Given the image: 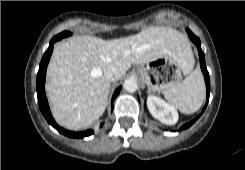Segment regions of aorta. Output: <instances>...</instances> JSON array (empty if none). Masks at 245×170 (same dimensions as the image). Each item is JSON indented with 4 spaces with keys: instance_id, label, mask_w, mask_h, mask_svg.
Instances as JSON below:
<instances>
[{
    "instance_id": "obj_1",
    "label": "aorta",
    "mask_w": 245,
    "mask_h": 170,
    "mask_svg": "<svg viewBox=\"0 0 245 170\" xmlns=\"http://www.w3.org/2000/svg\"><path fill=\"white\" fill-rule=\"evenodd\" d=\"M123 88L129 93H133L138 89V83L134 78H128L124 81Z\"/></svg>"
}]
</instances>
